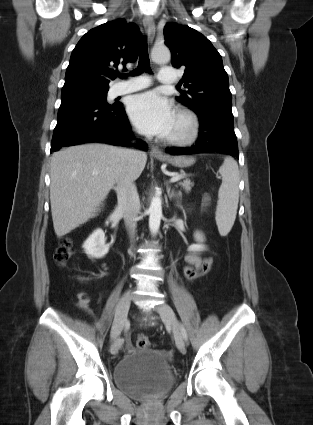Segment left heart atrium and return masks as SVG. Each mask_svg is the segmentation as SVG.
I'll use <instances>...</instances> for the list:
<instances>
[{
  "label": "left heart atrium",
  "instance_id": "left-heart-atrium-1",
  "mask_svg": "<svg viewBox=\"0 0 313 425\" xmlns=\"http://www.w3.org/2000/svg\"><path fill=\"white\" fill-rule=\"evenodd\" d=\"M127 110L138 131L146 135L167 136L175 119L171 103L154 91L133 96Z\"/></svg>",
  "mask_w": 313,
  "mask_h": 425
}]
</instances>
